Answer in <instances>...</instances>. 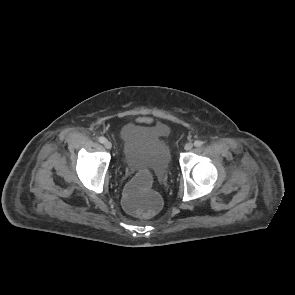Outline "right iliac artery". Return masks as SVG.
Here are the masks:
<instances>
[{"label": "right iliac artery", "mask_w": 295, "mask_h": 295, "mask_svg": "<svg viewBox=\"0 0 295 295\" xmlns=\"http://www.w3.org/2000/svg\"><path fill=\"white\" fill-rule=\"evenodd\" d=\"M98 140H99L100 143H104L106 141L105 137H102V136L99 137Z\"/></svg>", "instance_id": "obj_1"}]
</instances>
